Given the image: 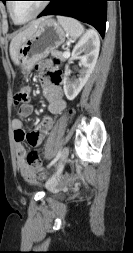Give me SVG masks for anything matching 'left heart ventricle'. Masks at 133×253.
Here are the masks:
<instances>
[{"label":"left heart ventricle","instance_id":"b2bd125f","mask_svg":"<svg viewBox=\"0 0 133 253\" xmlns=\"http://www.w3.org/2000/svg\"><path fill=\"white\" fill-rule=\"evenodd\" d=\"M41 4V1H13L11 8L14 17L22 21L34 14Z\"/></svg>","mask_w":133,"mask_h":253}]
</instances>
